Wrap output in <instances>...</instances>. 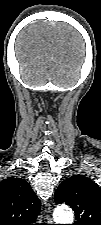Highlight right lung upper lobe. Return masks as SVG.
I'll use <instances>...</instances> for the list:
<instances>
[{
  "label": "right lung upper lobe",
  "mask_w": 101,
  "mask_h": 225,
  "mask_svg": "<svg viewBox=\"0 0 101 225\" xmlns=\"http://www.w3.org/2000/svg\"><path fill=\"white\" fill-rule=\"evenodd\" d=\"M40 200L22 178L0 182V225H35Z\"/></svg>",
  "instance_id": "cb5924a9"
}]
</instances>
